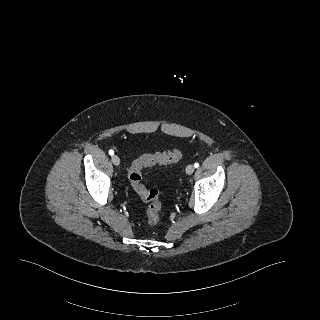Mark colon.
I'll return each instance as SVG.
<instances>
[{
    "instance_id": "obj_1",
    "label": "colon",
    "mask_w": 320,
    "mask_h": 320,
    "mask_svg": "<svg viewBox=\"0 0 320 320\" xmlns=\"http://www.w3.org/2000/svg\"><path fill=\"white\" fill-rule=\"evenodd\" d=\"M183 152L174 149L169 152H157L144 154L136 159L129 169V180L134 191L148 204L147 221L149 225L155 226L160 219L162 202L156 189H147L142 182V169L155 164H170L181 160Z\"/></svg>"
}]
</instances>
